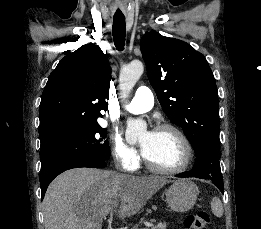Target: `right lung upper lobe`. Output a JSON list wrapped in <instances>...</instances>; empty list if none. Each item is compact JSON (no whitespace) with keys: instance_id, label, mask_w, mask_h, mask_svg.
Listing matches in <instances>:
<instances>
[{"instance_id":"cb5924a9","label":"right lung upper lobe","mask_w":261,"mask_h":229,"mask_svg":"<svg viewBox=\"0 0 261 229\" xmlns=\"http://www.w3.org/2000/svg\"><path fill=\"white\" fill-rule=\"evenodd\" d=\"M111 70L98 46L66 55L50 74L39 108L40 150L72 140L107 110Z\"/></svg>"}]
</instances>
